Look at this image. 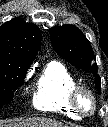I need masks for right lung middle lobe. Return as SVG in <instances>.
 Returning <instances> with one entry per match:
<instances>
[{"mask_svg": "<svg viewBox=\"0 0 108 127\" xmlns=\"http://www.w3.org/2000/svg\"><path fill=\"white\" fill-rule=\"evenodd\" d=\"M30 65L0 57V107L10 102L14 92L22 85Z\"/></svg>", "mask_w": 108, "mask_h": 127, "instance_id": "right-lung-middle-lobe-1", "label": "right lung middle lobe"}]
</instances>
